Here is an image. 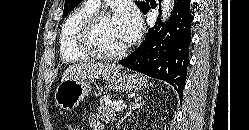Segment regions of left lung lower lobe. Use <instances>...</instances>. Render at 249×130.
<instances>
[{
  "instance_id": "obj_1",
  "label": "left lung lower lobe",
  "mask_w": 249,
  "mask_h": 130,
  "mask_svg": "<svg viewBox=\"0 0 249 130\" xmlns=\"http://www.w3.org/2000/svg\"><path fill=\"white\" fill-rule=\"evenodd\" d=\"M192 20L190 0H175L168 22L150 28L143 44L119 64L168 82L182 100Z\"/></svg>"
}]
</instances>
